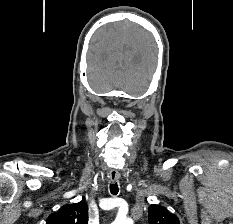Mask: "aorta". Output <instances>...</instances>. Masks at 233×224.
<instances>
[{
    "mask_svg": "<svg viewBox=\"0 0 233 224\" xmlns=\"http://www.w3.org/2000/svg\"><path fill=\"white\" fill-rule=\"evenodd\" d=\"M113 224H134L133 220L125 216H117Z\"/></svg>",
    "mask_w": 233,
    "mask_h": 224,
    "instance_id": "1",
    "label": "aorta"
}]
</instances>
